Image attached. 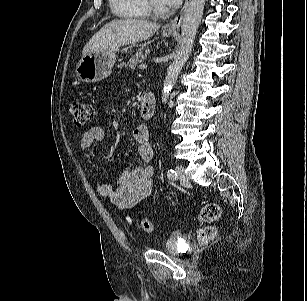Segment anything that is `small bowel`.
<instances>
[{"mask_svg":"<svg viewBox=\"0 0 307 301\" xmlns=\"http://www.w3.org/2000/svg\"><path fill=\"white\" fill-rule=\"evenodd\" d=\"M133 138L140 158L145 162H150L154 153L148 127L143 124L136 126ZM104 140L105 131L101 127H92L82 135L80 146L84 150H89L95 143H101ZM94 184L101 196L109 199L119 209L129 210L152 194L154 169L147 165L127 170L119 176L115 186L101 179H96Z\"/></svg>","mask_w":307,"mask_h":301,"instance_id":"c3829d8e","label":"small bowel"}]
</instances>
